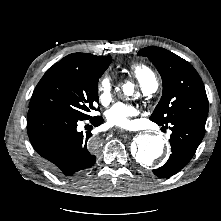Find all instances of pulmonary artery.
<instances>
[{
	"mask_svg": "<svg viewBox=\"0 0 221 221\" xmlns=\"http://www.w3.org/2000/svg\"><path fill=\"white\" fill-rule=\"evenodd\" d=\"M157 88H158V82H157V80L154 78V79H152V80L149 82L148 85H146V86L144 87V92H145L146 94L154 93V92L157 90Z\"/></svg>",
	"mask_w": 221,
	"mask_h": 221,
	"instance_id": "obj_1",
	"label": "pulmonary artery"
}]
</instances>
